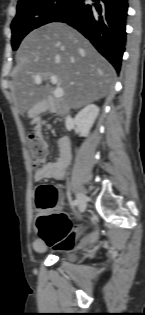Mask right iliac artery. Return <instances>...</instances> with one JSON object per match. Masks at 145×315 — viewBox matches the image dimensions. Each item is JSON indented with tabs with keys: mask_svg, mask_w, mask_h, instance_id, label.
<instances>
[{
	"mask_svg": "<svg viewBox=\"0 0 145 315\" xmlns=\"http://www.w3.org/2000/svg\"><path fill=\"white\" fill-rule=\"evenodd\" d=\"M78 205V201L77 200H73L72 202H71V206L74 208V207H76Z\"/></svg>",
	"mask_w": 145,
	"mask_h": 315,
	"instance_id": "right-iliac-artery-1",
	"label": "right iliac artery"
}]
</instances>
